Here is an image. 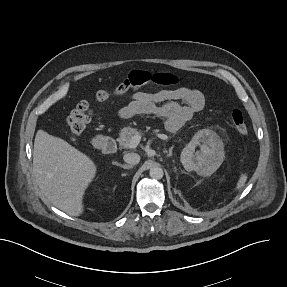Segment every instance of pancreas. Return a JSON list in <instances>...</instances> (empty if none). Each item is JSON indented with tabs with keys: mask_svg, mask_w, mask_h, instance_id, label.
Wrapping results in <instances>:
<instances>
[{
	"mask_svg": "<svg viewBox=\"0 0 287 287\" xmlns=\"http://www.w3.org/2000/svg\"><path fill=\"white\" fill-rule=\"evenodd\" d=\"M155 131L156 130H154V132ZM136 134H140V130L136 128H132L130 126L122 128L120 132V136L118 138L119 145L123 148H127L129 141Z\"/></svg>",
	"mask_w": 287,
	"mask_h": 287,
	"instance_id": "obj_1",
	"label": "pancreas"
}]
</instances>
